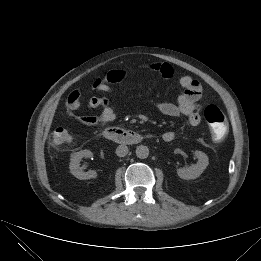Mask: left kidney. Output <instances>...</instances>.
I'll return each instance as SVG.
<instances>
[{
    "instance_id": "1",
    "label": "left kidney",
    "mask_w": 261,
    "mask_h": 261,
    "mask_svg": "<svg viewBox=\"0 0 261 261\" xmlns=\"http://www.w3.org/2000/svg\"><path fill=\"white\" fill-rule=\"evenodd\" d=\"M195 156L198 158L196 164L188 168H180L177 170V174L180 178L185 180H191L198 178L209 164L207 155L202 151H195Z\"/></svg>"
}]
</instances>
